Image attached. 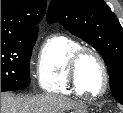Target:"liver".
Listing matches in <instances>:
<instances>
[{
  "mask_svg": "<svg viewBox=\"0 0 123 113\" xmlns=\"http://www.w3.org/2000/svg\"><path fill=\"white\" fill-rule=\"evenodd\" d=\"M76 107L75 102L58 95L15 96L1 93V113H62Z\"/></svg>",
  "mask_w": 123,
  "mask_h": 113,
  "instance_id": "1",
  "label": "liver"
}]
</instances>
